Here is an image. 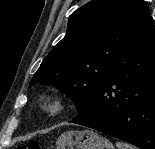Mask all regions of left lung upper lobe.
<instances>
[{
    "instance_id": "5c2ea615",
    "label": "left lung upper lobe",
    "mask_w": 155,
    "mask_h": 149,
    "mask_svg": "<svg viewBox=\"0 0 155 149\" xmlns=\"http://www.w3.org/2000/svg\"><path fill=\"white\" fill-rule=\"evenodd\" d=\"M148 13L143 0L88 2L71 15L65 37L44 58L30 86L35 82L55 86L80 112Z\"/></svg>"
}]
</instances>
